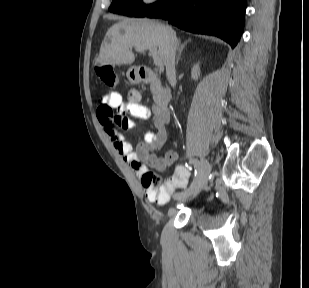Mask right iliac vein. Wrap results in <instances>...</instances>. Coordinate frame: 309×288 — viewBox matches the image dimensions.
<instances>
[{"label":"right iliac vein","instance_id":"right-iliac-vein-1","mask_svg":"<svg viewBox=\"0 0 309 288\" xmlns=\"http://www.w3.org/2000/svg\"><path fill=\"white\" fill-rule=\"evenodd\" d=\"M199 164H201V169H200V179H199V184L197 185V187L195 188V190H193L191 193H187L186 197H182L181 195L179 196L178 199H176L177 201L181 202V201H185L186 199H188L189 197H191L192 195H195L199 192V189H202L205 187L206 185V181L208 178V175L210 173V164L209 162L202 158L199 162Z\"/></svg>","mask_w":309,"mask_h":288}]
</instances>
